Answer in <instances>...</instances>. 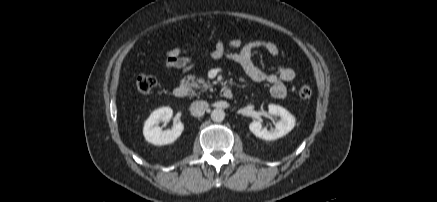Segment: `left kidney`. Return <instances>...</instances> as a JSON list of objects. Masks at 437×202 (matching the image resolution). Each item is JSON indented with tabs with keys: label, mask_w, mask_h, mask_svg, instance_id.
Instances as JSON below:
<instances>
[{
	"label": "left kidney",
	"mask_w": 437,
	"mask_h": 202,
	"mask_svg": "<svg viewBox=\"0 0 437 202\" xmlns=\"http://www.w3.org/2000/svg\"><path fill=\"white\" fill-rule=\"evenodd\" d=\"M269 114L280 117V120L275 124V129L267 130L262 128L261 121H253L249 125L250 131L256 136L264 140H275L289 133L295 125V118L286 109L278 105H269Z\"/></svg>",
	"instance_id": "left-kidney-1"
}]
</instances>
